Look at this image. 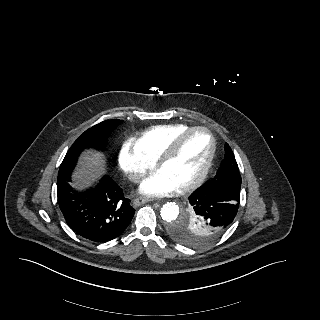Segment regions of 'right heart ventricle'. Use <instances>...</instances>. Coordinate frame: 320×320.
Masks as SVG:
<instances>
[{
	"mask_svg": "<svg viewBox=\"0 0 320 320\" xmlns=\"http://www.w3.org/2000/svg\"><path fill=\"white\" fill-rule=\"evenodd\" d=\"M188 128L181 123L153 126L140 133L134 143L148 160L155 162L170 142Z\"/></svg>",
	"mask_w": 320,
	"mask_h": 320,
	"instance_id": "1",
	"label": "right heart ventricle"
}]
</instances>
